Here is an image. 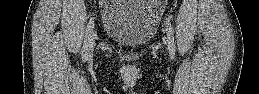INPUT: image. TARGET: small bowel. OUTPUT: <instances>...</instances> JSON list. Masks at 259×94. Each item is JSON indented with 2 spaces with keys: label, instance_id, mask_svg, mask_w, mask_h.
Wrapping results in <instances>:
<instances>
[{
  "label": "small bowel",
  "instance_id": "obj_1",
  "mask_svg": "<svg viewBox=\"0 0 259 94\" xmlns=\"http://www.w3.org/2000/svg\"><path fill=\"white\" fill-rule=\"evenodd\" d=\"M159 5H160V7H161V9H162V5L160 4V3H158Z\"/></svg>",
  "mask_w": 259,
  "mask_h": 94
}]
</instances>
